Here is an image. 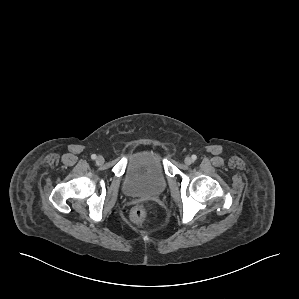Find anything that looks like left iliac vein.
I'll list each match as a JSON object with an SVG mask.
<instances>
[{"instance_id": "4c4485c4", "label": "left iliac vein", "mask_w": 299, "mask_h": 299, "mask_svg": "<svg viewBox=\"0 0 299 299\" xmlns=\"http://www.w3.org/2000/svg\"><path fill=\"white\" fill-rule=\"evenodd\" d=\"M184 162H185L186 165H191L193 161H192L191 157H186Z\"/></svg>"}]
</instances>
